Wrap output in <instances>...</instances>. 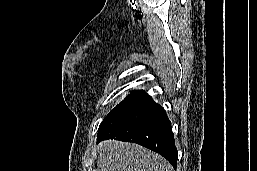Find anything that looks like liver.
I'll list each match as a JSON object with an SVG mask.
<instances>
[{
	"label": "liver",
	"mask_w": 257,
	"mask_h": 171,
	"mask_svg": "<svg viewBox=\"0 0 257 171\" xmlns=\"http://www.w3.org/2000/svg\"><path fill=\"white\" fill-rule=\"evenodd\" d=\"M98 171H173L159 154L138 144L107 140L99 145Z\"/></svg>",
	"instance_id": "liver-1"
}]
</instances>
